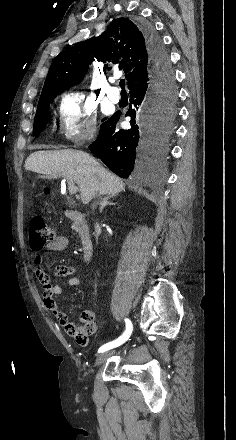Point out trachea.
I'll list each match as a JSON object with an SVG mask.
<instances>
[{
    "mask_svg": "<svg viewBox=\"0 0 236 440\" xmlns=\"http://www.w3.org/2000/svg\"><path fill=\"white\" fill-rule=\"evenodd\" d=\"M119 85H120L122 91H125V79H121L119 82Z\"/></svg>",
    "mask_w": 236,
    "mask_h": 440,
    "instance_id": "obj_1",
    "label": "trachea"
}]
</instances>
